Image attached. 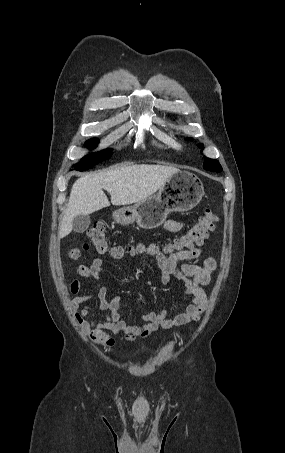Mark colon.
I'll use <instances>...</instances> for the list:
<instances>
[{
	"mask_svg": "<svg viewBox=\"0 0 285 453\" xmlns=\"http://www.w3.org/2000/svg\"><path fill=\"white\" fill-rule=\"evenodd\" d=\"M217 220L213 211L207 209L199 220L184 234L175 238L163 248L153 247L164 255H175L191 252L202 246L213 230ZM93 249L99 254H110L114 258H121L126 250L121 246H110L103 224L95 222L87 232ZM87 248V245H84ZM143 247L129 248L131 252H139ZM72 259H78L81 255L80 249H73L69 253Z\"/></svg>",
	"mask_w": 285,
	"mask_h": 453,
	"instance_id": "colon-1",
	"label": "colon"
}]
</instances>
